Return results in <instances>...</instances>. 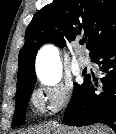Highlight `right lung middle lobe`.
Here are the masks:
<instances>
[{"mask_svg":"<svg viewBox=\"0 0 116 134\" xmlns=\"http://www.w3.org/2000/svg\"><path fill=\"white\" fill-rule=\"evenodd\" d=\"M34 84L35 82L27 84L22 92L16 95V109L13 117L12 127H17L24 123L27 105L30 99V95L34 89ZM81 87L82 85L74 83L72 98H74L75 95L80 91Z\"/></svg>","mask_w":116,"mask_h":134,"instance_id":"right-lung-middle-lobe-1","label":"right lung middle lobe"}]
</instances>
